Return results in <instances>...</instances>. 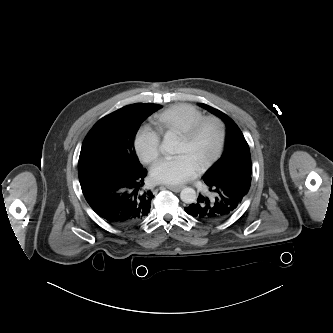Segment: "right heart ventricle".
Listing matches in <instances>:
<instances>
[{"label":"right heart ventricle","instance_id":"right-heart-ventricle-1","mask_svg":"<svg viewBox=\"0 0 333 333\" xmlns=\"http://www.w3.org/2000/svg\"><path fill=\"white\" fill-rule=\"evenodd\" d=\"M203 117V112L195 106L179 104L157 114L153 123L155 129L161 134L180 135Z\"/></svg>","mask_w":333,"mask_h":333}]
</instances>
